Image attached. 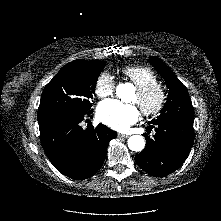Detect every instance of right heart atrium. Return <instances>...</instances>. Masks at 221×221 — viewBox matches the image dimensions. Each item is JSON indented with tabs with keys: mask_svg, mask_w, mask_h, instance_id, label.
I'll list each match as a JSON object with an SVG mask.
<instances>
[{
	"mask_svg": "<svg viewBox=\"0 0 221 221\" xmlns=\"http://www.w3.org/2000/svg\"><path fill=\"white\" fill-rule=\"evenodd\" d=\"M115 81L110 73L104 71L96 79L95 94L99 97H106L113 93Z\"/></svg>",
	"mask_w": 221,
	"mask_h": 221,
	"instance_id": "right-heart-atrium-1",
	"label": "right heart atrium"
}]
</instances>
